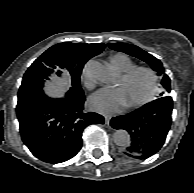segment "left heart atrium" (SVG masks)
Segmentation results:
<instances>
[{
  "label": "left heart atrium",
  "mask_w": 194,
  "mask_h": 193,
  "mask_svg": "<svg viewBox=\"0 0 194 193\" xmlns=\"http://www.w3.org/2000/svg\"><path fill=\"white\" fill-rule=\"evenodd\" d=\"M89 104L93 110L105 114L119 112L127 105L123 90L119 87L99 90L90 98Z\"/></svg>",
  "instance_id": "obj_1"
}]
</instances>
